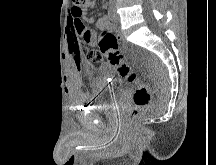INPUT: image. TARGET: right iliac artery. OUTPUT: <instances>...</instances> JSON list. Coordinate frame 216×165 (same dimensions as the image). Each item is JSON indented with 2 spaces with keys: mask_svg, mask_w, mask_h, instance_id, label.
<instances>
[{
  "mask_svg": "<svg viewBox=\"0 0 216 165\" xmlns=\"http://www.w3.org/2000/svg\"><path fill=\"white\" fill-rule=\"evenodd\" d=\"M108 18L112 21L114 18V14H113V9L112 7H110L109 11H108Z\"/></svg>",
  "mask_w": 216,
  "mask_h": 165,
  "instance_id": "82829eb1",
  "label": "right iliac artery"
}]
</instances>
